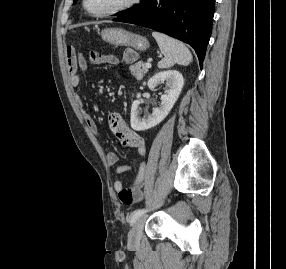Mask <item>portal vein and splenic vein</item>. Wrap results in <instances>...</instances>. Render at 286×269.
Listing matches in <instances>:
<instances>
[{
  "mask_svg": "<svg viewBox=\"0 0 286 269\" xmlns=\"http://www.w3.org/2000/svg\"><path fill=\"white\" fill-rule=\"evenodd\" d=\"M145 65H146L147 68H151V63L150 62H147Z\"/></svg>",
  "mask_w": 286,
  "mask_h": 269,
  "instance_id": "18ae733b",
  "label": "portal vein and splenic vein"
}]
</instances>
